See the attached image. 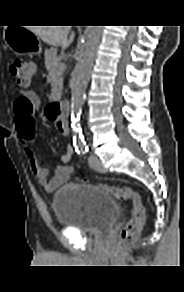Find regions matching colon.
<instances>
[{
  "label": "colon",
  "mask_w": 184,
  "mask_h": 292,
  "mask_svg": "<svg viewBox=\"0 0 184 292\" xmlns=\"http://www.w3.org/2000/svg\"><path fill=\"white\" fill-rule=\"evenodd\" d=\"M35 71L36 66L33 62L20 58H15L10 62V72L21 89L30 85ZM38 106V98L30 92L22 93L14 103L16 124L29 138L33 135ZM99 187L120 200L131 201L132 217L120 232V243L123 245L133 243L139 237L146 222V211L141 195L129 186L113 187L101 184Z\"/></svg>",
  "instance_id": "colon-1"
}]
</instances>
